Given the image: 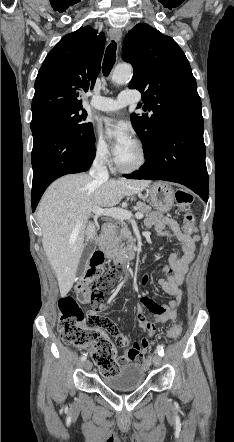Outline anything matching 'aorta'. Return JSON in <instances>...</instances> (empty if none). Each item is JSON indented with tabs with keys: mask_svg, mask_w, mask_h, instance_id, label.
<instances>
[{
	"mask_svg": "<svg viewBox=\"0 0 234 442\" xmlns=\"http://www.w3.org/2000/svg\"><path fill=\"white\" fill-rule=\"evenodd\" d=\"M133 69L131 65L124 64L115 67L111 80L116 84H124L132 78Z\"/></svg>",
	"mask_w": 234,
	"mask_h": 442,
	"instance_id": "obj_1",
	"label": "aorta"
}]
</instances>
